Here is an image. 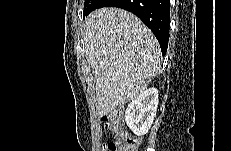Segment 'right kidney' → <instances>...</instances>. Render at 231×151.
<instances>
[{
  "label": "right kidney",
  "mask_w": 231,
  "mask_h": 151,
  "mask_svg": "<svg viewBox=\"0 0 231 151\" xmlns=\"http://www.w3.org/2000/svg\"><path fill=\"white\" fill-rule=\"evenodd\" d=\"M158 107V90L149 88L137 96L125 111L127 126L137 136L146 134L156 116Z\"/></svg>",
  "instance_id": "right-kidney-1"
}]
</instances>
